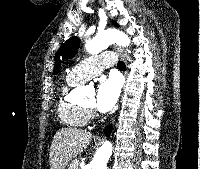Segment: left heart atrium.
<instances>
[{"label": "left heart atrium", "mask_w": 200, "mask_h": 169, "mask_svg": "<svg viewBox=\"0 0 200 169\" xmlns=\"http://www.w3.org/2000/svg\"><path fill=\"white\" fill-rule=\"evenodd\" d=\"M120 82L111 77L102 80L97 88L96 106L102 113L110 111L118 101L120 95Z\"/></svg>", "instance_id": "left-heart-atrium-1"}]
</instances>
